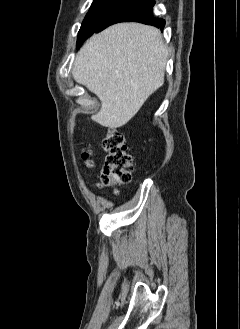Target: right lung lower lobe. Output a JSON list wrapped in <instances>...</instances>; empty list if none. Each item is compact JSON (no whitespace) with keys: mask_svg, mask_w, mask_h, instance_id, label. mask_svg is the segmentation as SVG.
<instances>
[{"mask_svg":"<svg viewBox=\"0 0 240 329\" xmlns=\"http://www.w3.org/2000/svg\"><path fill=\"white\" fill-rule=\"evenodd\" d=\"M154 0H121L98 24L94 32H100L118 22H140L163 30L165 21L153 17Z\"/></svg>","mask_w":240,"mask_h":329,"instance_id":"obj_1","label":"right lung lower lobe"}]
</instances>
